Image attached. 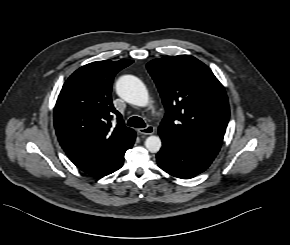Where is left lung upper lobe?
I'll use <instances>...</instances> for the list:
<instances>
[{"label":"left lung upper lobe","instance_id":"left-lung-upper-lobe-1","mask_svg":"<svg viewBox=\"0 0 290 245\" xmlns=\"http://www.w3.org/2000/svg\"><path fill=\"white\" fill-rule=\"evenodd\" d=\"M147 69L166 109L159 132L216 156L229 121V103L212 71L190 55L154 59Z\"/></svg>","mask_w":290,"mask_h":245}]
</instances>
